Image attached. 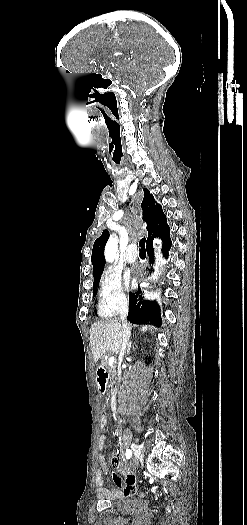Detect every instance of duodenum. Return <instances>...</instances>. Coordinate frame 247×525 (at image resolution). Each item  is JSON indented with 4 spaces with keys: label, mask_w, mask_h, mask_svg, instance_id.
<instances>
[{
    "label": "duodenum",
    "mask_w": 247,
    "mask_h": 525,
    "mask_svg": "<svg viewBox=\"0 0 247 525\" xmlns=\"http://www.w3.org/2000/svg\"><path fill=\"white\" fill-rule=\"evenodd\" d=\"M96 380L101 388V391H105L108 382V373L104 366H98L96 369ZM110 409L112 413H116L118 410V403L116 397H112L110 400Z\"/></svg>",
    "instance_id": "obj_1"
}]
</instances>
